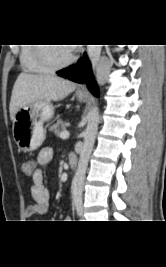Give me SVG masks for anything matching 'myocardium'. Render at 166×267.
I'll use <instances>...</instances> for the list:
<instances>
[{"label":"myocardium","mask_w":166,"mask_h":267,"mask_svg":"<svg viewBox=\"0 0 166 267\" xmlns=\"http://www.w3.org/2000/svg\"><path fill=\"white\" fill-rule=\"evenodd\" d=\"M45 45L46 44H38V46H36V55H37L38 60L42 64L50 68L51 70H58V69L66 68L70 66L72 63H74L77 58L76 55L72 53L70 58L67 61L61 62V63L56 62L51 58L47 50L48 46H45Z\"/></svg>","instance_id":"f54148a6"}]
</instances>
